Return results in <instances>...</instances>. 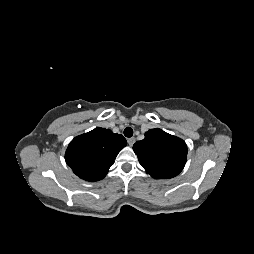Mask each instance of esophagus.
Returning a JSON list of instances; mask_svg holds the SVG:
<instances>
[{"label":"esophagus","mask_w":254,"mask_h":254,"mask_svg":"<svg viewBox=\"0 0 254 254\" xmlns=\"http://www.w3.org/2000/svg\"><path fill=\"white\" fill-rule=\"evenodd\" d=\"M127 142L130 146H133V144L135 143V138L134 137L128 138Z\"/></svg>","instance_id":"esophagus-1"}]
</instances>
